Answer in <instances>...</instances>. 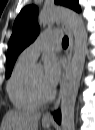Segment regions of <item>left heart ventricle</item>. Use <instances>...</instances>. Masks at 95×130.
<instances>
[{"instance_id":"b2bd125f","label":"left heart ventricle","mask_w":95,"mask_h":130,"mask_svg":"<svg viewBox=\"0 0 95 130\" xmlns=\"http://www.w3.org/2000/svg\"><path fill=\"white\" fill-rule=\"evenodd\" d=\"M32 78L43 95H47L52 90L48 86H46L44 82L43 72H38L34 74Z\"/></svg>"}]
</instances>
